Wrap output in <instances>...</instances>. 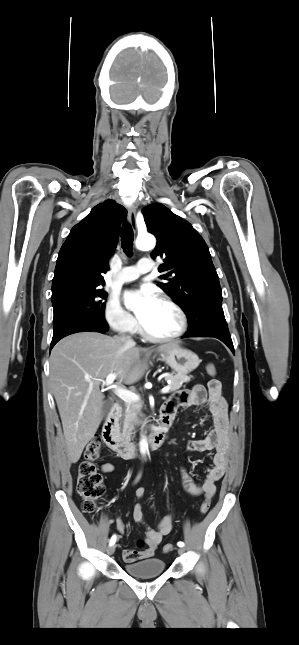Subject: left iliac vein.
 I'll return each mask as SVG.
<instances>
[{"mask_svg":"<svg viewBox=\"0 0 299 645\" xmlns=\"http://www.w3.org/2000/svg\"><path fill=\"white\" fill-rule=\"evenodd\" d=\"M178 553H179V554H183V553H184V548H183V547H180V548L178 549Z\"/></svg>","mask_w":299,"mask_h":645,"instance_id":"1","label":"left iliac vein"}]
</instances>
